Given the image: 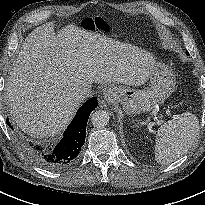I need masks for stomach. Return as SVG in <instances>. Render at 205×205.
Listing matches in <instances>:
<instances>
[{"instance_id":"stomach-1","label":"stomach","mask_w":205,"mask_h":205,"mask_svg":"<svg viewBox=\"0 0 205 205\" xmlns=\"http://www.w3.org/2000/svg\"><path fill=\"white\" fill-rule=\"evenodd\" d=\"M82 28L91 32L105 31L94 19L82 24ZM149 79V87L142 90L113 87L112 101L121 103L129 115L151 111L172 94L176 81L174 71L168 65L157 61L150 71Z\"/></svg>"}]
</instances>
